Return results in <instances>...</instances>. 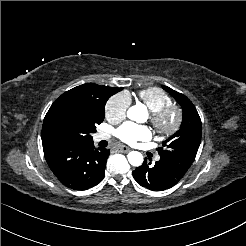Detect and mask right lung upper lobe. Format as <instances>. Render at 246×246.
Returning a JSON list of instances; mask_svg holds the SVG:
<instances>
[{
    "label": "right lung upper lobe",
    "mask_w": 246,
    "mask_h": 246,
    "mask_svg": "<svg viewBox=\"0 0 246 246\" xmlns=\"http://www.w3.org/2000/svg\"><path fill=\"white\" fill-rule=\"evenodd\" d=\"M123 88H111L94 83L77 86L62 94L50 107L45 118L49 117L56 109L65 104H78L82 106H101Z\"/></svg>",
    "instance_id": "right-lung-upper-lobe-1"
}]
</instances>
